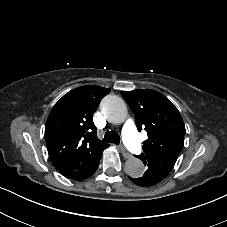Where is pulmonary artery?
I'll use <instances>...</instances> for the list:
<instances>
[{"mask_svg":"<svg viewBox=\"0 0 227 227\" xmlns=\"http://www.w3.org/2000/svg\"><path fill=\"white\" fill-rule=\"evenodd\" d=\"M123 141L125 144L128 145L129 149L134 152L138 153L141 151L142 146L139 142L141 138V134L139 131L134 130V126L132 123L127 122L123 126Z\"/></svg>","mask_w":227,"mask_h":227,"instance_id":"obj_1","label":"pulmonary artery"}]
</instances>
